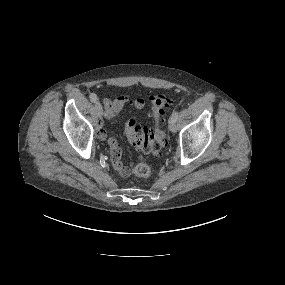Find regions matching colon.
<instances>
[{
	"instance_id": "obj_1",
	"label": "colon",
	"mask_w": 285,
	"mask_h": 285,
	"mask_svg": "<svg viewBox=\"0 0 285 285\" xmlns=\"http://www.w3.org/2000/svg\"><path fill=\"white\" fill-rule=\"evenodd\" d=\"M150 103L153 126L150 129L143 128L135 119H129L125 124V134L137 150L158 155L166 145V133L163 128L164 116L172 102L167 96L157 94L150 97ZM133 173L138 177L148 178L152 175V169L148 164L140 161L134 167Z\"/></svg>"
}]
</instances>
